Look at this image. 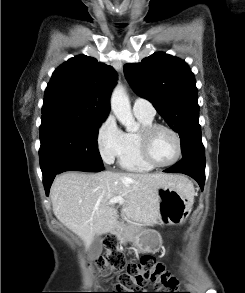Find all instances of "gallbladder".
I'll use <instances>...</instances> for the list:
<instances>
[{"label":"gallbladder","mask_w":245,"mask_h":293,"mask_svg":"<svg viewBox=\"0 0 245 293\" xmlns=\"http://www.w3.org/2000/svg\"><path fill=\"white\" fill-rule=\"evenodd\" d=\"M102 252V238L100 235H95L89 248H88V259L93 261L97 259Z\"/></svg>","instance_id":"gallbladder-1"}]
</instances>
